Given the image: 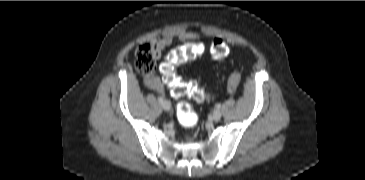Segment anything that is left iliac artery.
<instances>
[{
	"label": "left iliac artery",
	"mask_w": 365,
	"mask_h": 180,
	"mask_svg": "<svg viewBox=\"0 0 365 180\" xmlns=\"http://www.w3.org/2000/svg\"><path fill=\"white\" fill-rule=\"evenodd\" d=\"M216 108H217V109H220V108H221V105H220V104H217V105H216Z\"/></svg>",
	"instance_id": "obj_1"
}]
</instances>
